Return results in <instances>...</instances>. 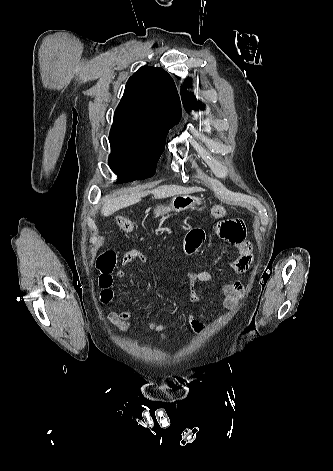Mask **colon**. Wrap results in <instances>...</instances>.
<instances>
[{"label":"colon","instance_id":"1","mask_svg":"<svg viewBox=\"0 0 333 471\" xmlns=\"http://www.w3.org/2000/svg\"><path fill=\"white\" fill-rule=\"evenodd\" d=\"M211 215L216 218H223L226 216V209L221 205H215L210 209ZM117 225L125 233H130L133 230V223L130 219L124 216H118L116 219ZM116 253L113 250H106L102 252L96 261V268L99 271V285L103 289L102 299L109 301L112 297L110 287L112 285V272L116 265Z\"/></svg>","mask_w":333,"mask_h":471}]
</instances>
